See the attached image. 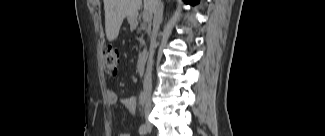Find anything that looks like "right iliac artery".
Instances as JSON below:
<instances>
[{
  "label": "right iliac artery",
  "instance_id": "1",
  "mask_svg": "<svg viewBox=\"0 0 325 136\" xmlns=\"http://www.w3.org/2000/svg\"><path fill=\"white\" fill-rule=\"evenodd\" d=\"M139 133H140V135H145L147 133V127L145 124L140 126Z\"/></svg>",
  "mask_w": 325,
  "mask_h": 136
}]
</instances>
